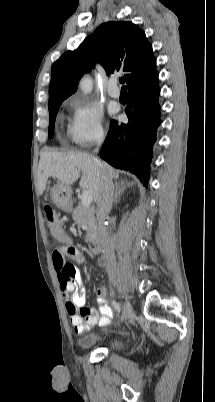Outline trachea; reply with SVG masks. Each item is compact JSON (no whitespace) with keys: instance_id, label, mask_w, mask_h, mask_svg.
<instances>
[{"instance_id":"3493384b","label":"trachea","mask_w":215,"mask_h":402,"mask_svg":"<svg viewBox=\"0 0 215 402\" xmlns=\"http://www.w3.org/2000/svg\"><path fill=\"white\" fill-rule=\"evenodd\" d=\"M119 81H120L121 84H124V83H125V78H124V77H121V78L119 79ZM122 88L125 89L126 87L123 86Z\"/></svg>"}]
</instances>
